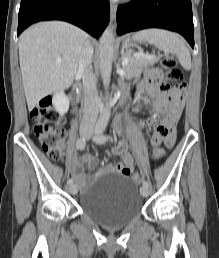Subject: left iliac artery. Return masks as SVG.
I'll use <instances>...</instances> for the list:
<instances>
[{
  "label": "left iliac artery",
  "mask_w": 219,
  "mask_h": 258,
  "mask_svg": "<svg viewBox=\"0 0 219 258\" xmlns=\"http://www.w3.org/2000/svg\"><path fill=\"white\" fill-rule=\"evenodd\" d=\"M103 132H104V126H101L96 130V135L93 138L95 143L103 144L108 140V137L104 135ZM143 186L149 187V183L144 180Z\"/></svg>",
  "instance_id": "obj_1"
}]
</instances>
